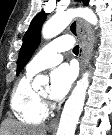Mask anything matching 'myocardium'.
<instances>
[{"mask_svg":"<svg viewBox=\"0 0 112 135\" xmlns=\"http://www.w3.org/2000/svg\"><path fill=\"white\" fill-rule=\"evenodd\" d=\"M38 95H39L41 101L43 102V104H44V105H47V97L44 96V95H41V94H38Z\"/></svg>","mask_w":112,"mask_h":135,"instance_id":"1","label":"myocardium"}]
</instances>
